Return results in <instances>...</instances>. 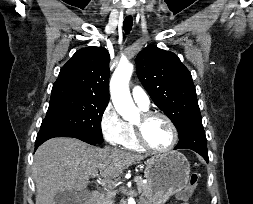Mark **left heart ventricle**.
Listing matches in <instances>:
<instances>
[{
    "instance_id": "left-heart-ventricle-1",
    "label": "left heart ventricle",
    "mask_w": 253,
    "mask_h": 204,
    "mask_svg": "<svg viewBox=\"0 0 253 204\" xmlns=\"http://www.w3.org/2000/svg\"><path fill=\"white\" fill-rule=\"evenodd\" d=\"M141 122V116L135 124ZM144 135L147 142L156 149L168 147L172 141V131L168 123L162 118H154L144 125Z\"/></svg>"
}]
</instances>
